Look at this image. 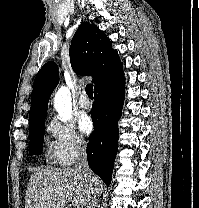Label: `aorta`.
Wrapping results in <instances>:
<instances>
[{
	"instance_id": "1",
	"label": "aorta",
	"mask_w": 199,
	"mask_h": 208,
	"mask_svg": "<svg viewBox=\"0 0 199 208\" xmlns=\"http://www.w3.org/2000/svg\"><path fill=\"white\" fill-rule=\"evenodd\" d=\"M54 108L62 122H67L72 118L71 94L67 87L63 86L58 89L54 97Z\"/></svg>"
}]
</instances>
